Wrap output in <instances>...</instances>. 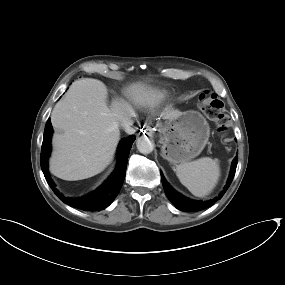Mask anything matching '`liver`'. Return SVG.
Listing matches in <instances>:
<instances>
[{
	"instance_id": "liver-1",
	"label": "liver",
	"mask_w": 285,
	"mask_h": 285,
	"mask_svg": "<svg viewBox=\"0 0 285 285\" xmlns=\"http://www.w3.org/2000/svg\"><path fill=\"white\" fill-rule=\"evenodd\" d=\"M136 103L154 97V91L143 84H134L128 90ZM106 86L99 80L83 78L72 83L65 97L54 107L51 122L56 130L53 136L51 172L63 180L76 181L101 173L111 162L120 138L122 118L133 115V109L124 100L106 103ZM167 111L165 119L179 115Z\"/></svg>"
}]
</instances>
